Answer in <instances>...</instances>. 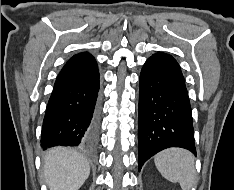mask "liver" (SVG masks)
<instances>
[{"label":"liver","instance_id":"6515ba94","mask_svg":"<svg viewBox=\"0 0 234 190\" xmlns=\"http://www.w3.org/2000/svg\"><path fill=\"white\" fill-rule=\"evenodd\" d=\"M90 174V166L82 155L56 147L44 157V176L49 190H79Z\"/></svg>","mask_w":234,"mask_h":190}]
</instances>
